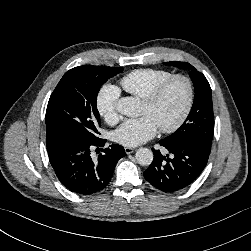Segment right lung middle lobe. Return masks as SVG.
<instances>
[{
  "mask_svg": "<svg viewBox=\"0 0 251 251\" xmlns=\"http://www.w3.org/2000/svg\"><path fill=\"white\" fill-rule=\"evenodd\" d=\"M122 70L121 67L86 65L66 72L47 105L46 143L65 137L98 139V91L102 84Z\"/></svg>",
  "mask_w": 251,
  "mask_h": 251,
  "instance_id": "obj_1",
  "label": "right lung middle lobe"
}]
</instances>
